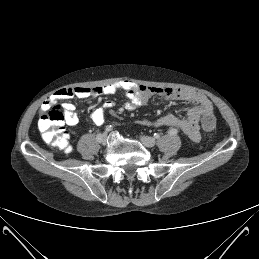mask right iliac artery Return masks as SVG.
Here are the masks:
<instances>
[{
    "instance_id": "right-iliac-artery-1",
    "label": "right iliac artery",
    "mask_w": 259,
    "mask_h": 259,
    "mask_svg": "<svg viewBox=\"0 0 259 259\" xmlns=\"http://www.w3.org/2000/svg\"><path fill=\"white\" fill-rule=\"evenodd\" d=\"M101 135H102L101 133H99V134L95 135V137H94V138H95V140H97V141H98V140H100Z\"/></svg>"
}]
</instances>
